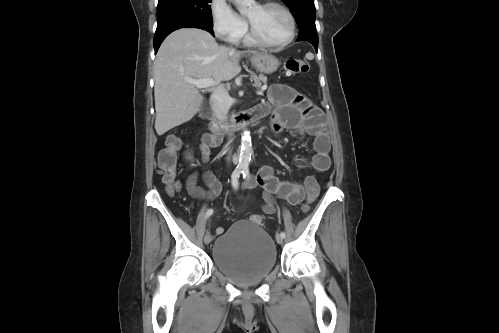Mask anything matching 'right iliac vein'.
<instances>
[{
	"label": "right iliac vein",
	"mask_w": 499,
	"mask_h": 333,
	"mask_svg": "<svg viewBox=\"0 0 499 333\" xmlns=\"http://www.w3.org/2000/svg\"><path fill=\"white\" fill-rule=\"evenodd\" d=\"M211 242V236L210 234L206 233L204 236V243L209 244Z\"/></svg>",
	"instance_id": "obj_1"
}]
</instances>
